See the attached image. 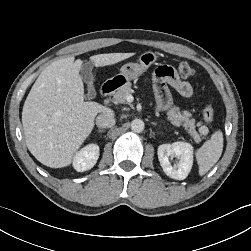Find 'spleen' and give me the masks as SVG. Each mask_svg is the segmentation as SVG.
<instances>
[{
    "label": "spleen",
    "instance_id": "spleen-1",
    "mask_svg": "<svg viewBox=\"0 0 251 251\" xmlns=\"http://www.w3.org/2000/svg\"><path fill=\"white\" fill-rule=\"evenodd\" d=\"M223 150V134L220 130L214 132L211 138L204 142L196 152L199 165V175L206 174L221 157Z\"/></svg>",
    "mask_w": 251,
    "mask_h": 251
}]
</instances>
